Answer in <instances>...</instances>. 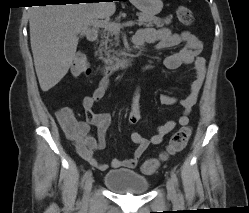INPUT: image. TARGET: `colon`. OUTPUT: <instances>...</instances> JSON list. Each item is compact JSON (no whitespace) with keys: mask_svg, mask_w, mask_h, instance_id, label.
<instances>
[{"mask_svg":"<svg viewBox=\"0 0 249 213\" xmlns=\"http://www.w3.org/2000/svg\"><path fill=\"white\" fill-rule=\"evenodd\" d=\"M178 19L184 25H191L194 21L192 11L185 6L178 7L176 11ZM90 73V65L86 58V56L82 53H77L74 57L73 65H72V74L74 76L88 75ZM192 128L190 126H184L178 131H176L169 143L168 146L162 155V159L165 160L169 156H173L183 150L186 146L190 136H191ZM160 165V161L157 159H149L143 162L141 166V170L144 174H153L156 172Z\"/></svg>","mask_w":249,"mask_h":213,"instance_id":"colon-1","label":"colon"}]
</instances>
